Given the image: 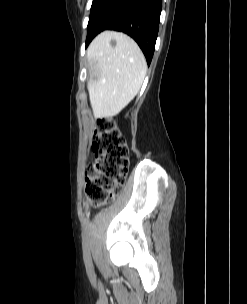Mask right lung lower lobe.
<instances>
[{
  "label": "right lung lower lobe",
  "mask_w": 247,
  "mask_h": 304,
  "mask_svg": "<svg viewBox=\"0 0 247 304\" xmlns=\"http://www.w3.org/2000/svg\"><path fill=\"white\" fill-rule=\"evenodd\" d=\"M161 10L162 0H97L89 17L86 47L103 30L122 31L138 43L149 65Z\"/></svg>",
  "instance_id": "obj_1"
}]
</instances>
